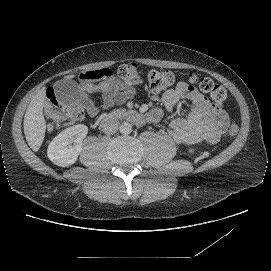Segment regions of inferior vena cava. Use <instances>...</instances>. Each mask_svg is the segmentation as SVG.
I'll return each mask as SVG.
<instances>
[{"mask_svg":"<svg viewBox=\"0 0 271 271\" xmlns=\"http://www.w3.org/2000/svg\"><path fill=\"white\" fill-rule=\"evenodd\" d=\"M119 126V120L111 114L106 115L101 122L102 130L107 135L114 134L119 129Z\"/></svg>","mask_w":271,"mask_h":271,"instance_id":"obj_1","label":"inferior vena cava"}]
</instances>
